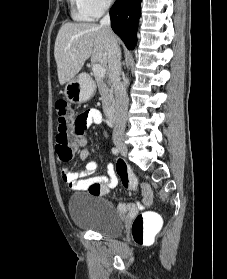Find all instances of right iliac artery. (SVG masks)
Instances as JSON below:
<instances>
[{
    "label": "right iliac artery",
    "instance_id": "82829eb1",
    "mask_svg": "<svg viewBox=\"0 0 227 279\" xmlns=\"http://www.w3.org/2000/svg\"><path fill=\"white\" fill-rule=\"evenodd\" d=\"M112 153L117 155L119 153V150L115 147L112 148Z\"/></svg>",
    "mask_w": 227,
    "mask_h": 279
}]
</instances>
